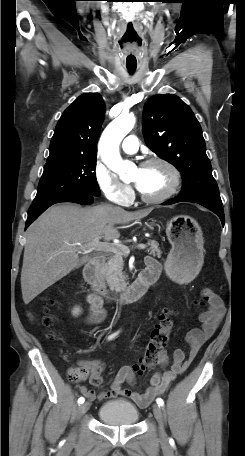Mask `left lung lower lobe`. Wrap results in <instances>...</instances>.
I'll return each instance as SVG.
<instances>
[{
    "instance_id": "left-lung-lower-lobe-1",
    "label": "left lung lower lobe",
    "mask_w": 245,
    "mask_h": 456,
    "mask_svg": "<svg viewBox=\"0 0 245 456\" xmlns=\"http://www.w3.org/2000/svg\"><path fill=\"white\" fill-rule=\"evenodd\" d=\"M181 201H184L180 198L178 199H172L170 201H167L165 203H163V205H170V204H174V203H177V202H181ZM208 209H210L211 211H213L216 215H218V217L220 218L221 220V223L222 225L224 226V212H223V209L222 207H217V206H214V205H210V204H200Z\"/></svg>"
}]
</instances>
